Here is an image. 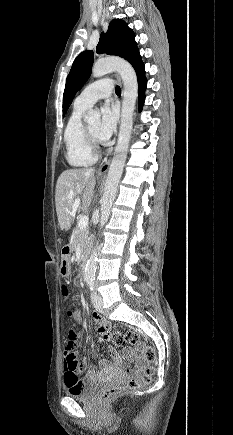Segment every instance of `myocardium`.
Segmentation results:
<instances>
[{
  "mask_svg": "<svg viewBox=\"0 0 233 435\" xmlns=\"http://www.w3.org/2000/svg\"><path fill=\"white\" fill-rule=\"evenodd\" d=\"M84 133L91 148L93 150H97L98 149L97 137L93 135V133L91 132L87 124H84Z\"/></svg>",
  "mask_w": 233,
  "mask_h": 435,
  "instance_id": "obj_1",
  "label": "myocardium"
}]
</instances>
